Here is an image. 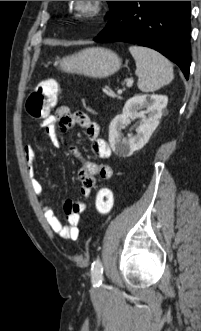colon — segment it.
I'll list each match as a JSON object with an SVG mask.
<instances>
[{"mask_svg":"<svg viewBox=\"0 0 201 331\" xmlns=\"http://www.w3.org/2000/svg\"><path fill=\"white\" fill-rule=\"evenodd\" d=\"M59 86L53 79L46 80L35 88L27 98L26 112L33 119H44L55 106ZM113 194L108 188H101L96 195V210L102 215H109L113 209Z\"/></svg>","mask_w":201,"mask_h":331,"instance_id":"obj_1","label":"colon"}]
</instances>
